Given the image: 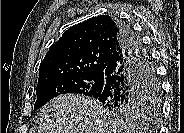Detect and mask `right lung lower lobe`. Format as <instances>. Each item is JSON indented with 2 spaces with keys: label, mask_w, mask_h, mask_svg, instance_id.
Masks as SVG:
<instances>
[{
  "label": "right lung lower lobe",
  "mask_w": 184,
  "mask_h": 133,
  "mask_svg": "<svg viewBox=\"0 0 184 133\" xmlns=\"http://www.w3.org/2000/svg\"><path fill=\"white\" fill-rule=\"evenodd\" d=\"M119 48L104 70V86L98 99L106 106L136 103L146 98L151 87V58L133 30L117 20Z\"/></svg>",
  "instance_id": "right-lung-lower-lobe-1"
}]
</instances>
